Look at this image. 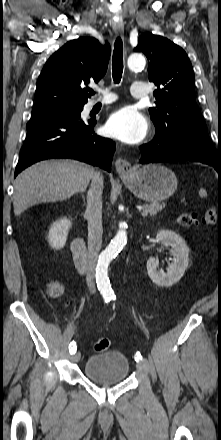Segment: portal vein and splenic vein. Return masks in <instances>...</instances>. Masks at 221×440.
Masks as SVG:
<instances>
[{"label":"portal vein and splenic vein","instance_id":"portal-vein-and-splenic-vein-1","mask_svg":"<svg viewBox=\"0 0 221 440\" xmlns=\"http://www.w3.org/2000/svg\"><path fill=\"white\" fill-rule=\"evenodd\" d=\"M141 215H142V216H146V215H147V211H146V210H144L143 208H142V212H141Z\"/></svg>","mask_w":221,"mask_h":440}]
</instances>
